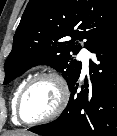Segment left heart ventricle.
Returning a JSON list of instances; mask_svg holds the SVG:
<instances>
[{"label": "left heart ventricle", "instance_id": "obj_1", "mask_svg": "<svg viewBox=\"0 0 117 136\" xmlns=\"http://www.w3.org/2000/svg\"><path fill=\"white\" fill-rule=\"evenodd\" d=\"M59 93L55 83L51 80H42L36 83L26 93L21 104V116L31 121L46 117L56 108Z\"/></svg>", "mask_w": 117, "mask_h": 136}]
</instances>
